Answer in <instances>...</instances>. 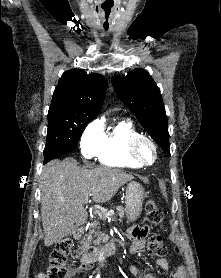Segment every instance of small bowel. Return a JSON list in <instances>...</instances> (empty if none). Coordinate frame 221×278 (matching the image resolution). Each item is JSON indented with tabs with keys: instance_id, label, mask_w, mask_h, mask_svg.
Here are the masks:
<instances>
[{
	"instance_id": "small-bowel-1",
	"label": "small bowel",
	"mask_w": 221,
	"mask_h": 278,
	"mask_svg": "<svg viewBox=\"0 0 221 278\" xmlns=\"http://www.w3.org/2000/svg\"><path fill=\"white\" fill-rule=\"evenodd\" d=\"M129 236L132 240L131 252L134 254H140L144 251L145 247V236L147 229L145 227L134 226L128 230ZM156 271L146 272L138 275L137 270L133 266H129L130 272L138 278H157V274L165 272L169 268V261L166 258H160L156 263ZM85 269L82 267H71L68 270L67 278H74L77 274H81ZM173 278H186L184 268L179 266Z\"/></svg>"
}]
</instances>
